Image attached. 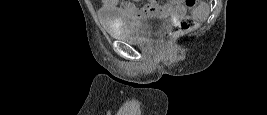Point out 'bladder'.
Segmentation results:
<instances>
[{
    "label": "bladder",
    "instance_id": "bladder-1",
    "mask_svg": "<svg viewBox=\"0 0 267 115\" xmlns=\"http://www.w3.org/2000/svg\"><path fill=\"white\" fill-rule=\"evenodd\" d=\"M167 23L161 14H145L136 22L106 26L110 36L129 42H144L157 34Z\"/></svg>",
    "mask_w": 267,
    "mask_h": 115
}]
</instances>
